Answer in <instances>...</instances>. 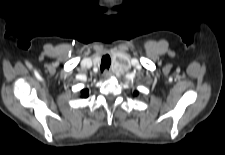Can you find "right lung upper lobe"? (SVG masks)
<instances>
[{"mask_svg":"<svg viewBox=\"0 0 225 155\" xmlns=\"http://www.w3.org/2000/svg\"><path fill=\"white\" fill-rule=\"evenodd\" d=\"M88 89H83L82 91H81V96L83 97V98H87L88 97Z\"/></svg>","mask_w":225,"mask_h":155,"instance_id":"1","label":"right lung upper lobe"}]
</instances>
